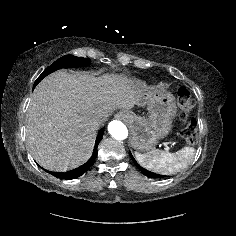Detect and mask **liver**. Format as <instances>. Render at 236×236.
I'll use <instances>...</instances> for the list:
<instances>
[{
    "label": "liver",
    "mask_w": 236,
    "mask_h": 236,
    "mask_svg": "<svg viewBox=\"0 0 236 236\" xmlns=\"http://www.w3.org/2000/svg\"><path fill=\"white\" fill-rule=\"evenodd\" d=\"M133 81L122 75L95 77L85 72H54L35 88L27 109V144L43 168L67 171L93 152L98 128L115 109L141 102Z\"/></svg>",
    "instance_id": "obj_1"
}]
</instances>
